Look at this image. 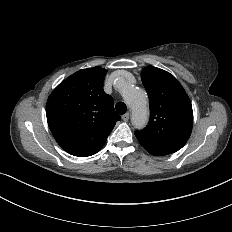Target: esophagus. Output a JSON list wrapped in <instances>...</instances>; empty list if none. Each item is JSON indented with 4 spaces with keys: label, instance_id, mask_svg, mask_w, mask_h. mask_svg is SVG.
<instances>
[{
    "label": "esophagus",
    "instance_id": "1",
    "mask_svg": "<svg viewBox=\"0 0 232 232\" xmlns=\"http://www.w3.org/2000/svg\"><path fill=\"white\" fill-rule=\"evenodd\" d=\"M129 117H130V114L127 112L122 116V120L126 122L128 121Z\"/></svg>",
    "mask_w": 232,
    "mask_h": 232
}]
</instances>
